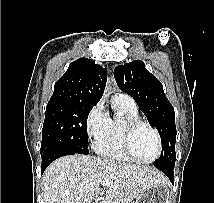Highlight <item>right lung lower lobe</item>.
<instances>
[{
    "label": "right lung lower lobe",
    "mask_w": 214,
    "mask_h": 203,
    "mask_svg": "<svg viewBox=\"0 0 214 203\" xmlns=\"http://www.w3.org/2000/svg\"><path fill=\"white\" fill-rule=\"evenodd\" d=\"M65 155H72L69 152H62V151H57V152H52L49 153L45 156L42 157V165H41V174L44 172L45 168L55 159L65 156Z\"/></svg>",
    "instance_id": "obj_1"
}]
</instances>
